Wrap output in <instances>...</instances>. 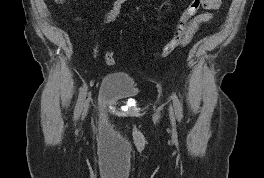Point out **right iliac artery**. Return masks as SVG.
I'll use <instances>...</instances> for the list:
<instances>
[{
  "instance_id": "right-iliac-artery-1",
  "label": "right iliac artery",
  "mask_w": 264,
  "mask_h": 178,
  "mask_svg": "<svg viewBox=\"0 0 264 178\" xmlns=\"http://www.w3.org/2000/svg\"><path fill=\"white\" fill-rule=\"evenodd\" d=\"M86 94H87V85H84L80 94H79L77 104L75 107V111H74V119L75 120H78V118L81 114Z\"/></svg>"
}]
</instances>
